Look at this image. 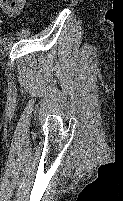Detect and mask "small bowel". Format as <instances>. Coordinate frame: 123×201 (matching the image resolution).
Masks as SVG:
<instances>
[{
    "mask_svg": "<svg viewBox=\"0 0 123 201\" xmlns=\"http://www.w3.org/2000/svg\"><path fill=\"white\" fill-rule=\"evenodd\" d=\"M27 0H0V21L20 14Z\"/></svg>",
    "mask_w": 123,
    "mask_h": 201,
    "instance_id": "1",
    "label": "small bowel"
}]
</instances>
